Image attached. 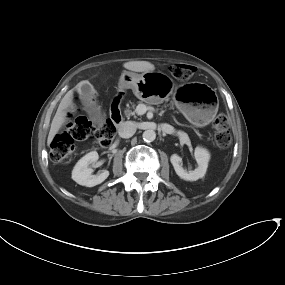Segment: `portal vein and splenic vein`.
<instances>
[{
	"label": "portal vein and splenic vein",
	"instance_id": "1",
	"mask_svg": "<svg viewBox=\"0 0 285 285\" xmlns=\"http://www.w3.org/2000/svg\"><path fill=\"white\" fill-rule=\"evenodd\" d=\"M148 110L150 111H153L154 108L153 107H148L144 104H139L137 107H136V112L138 115H143L145 114Z\"/></svg>",
	"mask_w": 285,
	"mask_h": 285
}]
</instances>
